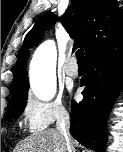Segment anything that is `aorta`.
I'll use <instances>...</instances> for the list:
<instances>
[{"label":"aorta","instance_id":"762f6f07","mask_svg":"<svg viewBox=\"0 0 123 152\" xmlns=\"http://www.w3.org/2000/svg\"><path fill=\"white\" fill-rule=\"evenodd\" d=\"M57 51L53 41L39 45L30 63V82L34 95L42 100H51L56 93Z\"/></svg>","mask_w":123,"mask_h":152}]
</instances>
